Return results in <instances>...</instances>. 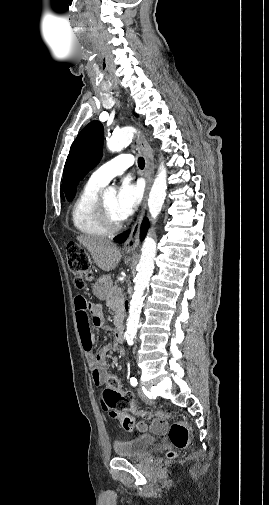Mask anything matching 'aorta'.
I'll use <instances>...</instances> for the list:
<instances>
[{"label":"aorta","instance_id":"1","mask_svg":"<svg viewBox=\"0 0 269 505\" xmlns=\"http://www.w3.org/2000/svg\"><path fill=\"white\" fill-rule=\"evenodd\" d=\"M135 132L136 130L134 128L125 127L113 133L112 136L107 139V148L111 152L122 150L130 143ZM166 189L167 173L164 163L162 162L158 168V173L153 182L148 199V208L153 220L156 219L161 212L166 196ZM115 195L116 190L113 187H108L103 192L104 199H108ZM155 256L156 242L151 236L148 235L145 238L141 248L138 273L135 277L134 293L130 302L126 330V340L128 345H133L134 339L136 337L145 290L149 284L154 270Z\"/></svg>","mask_w":269,"mask_h":505}]
</instances>
